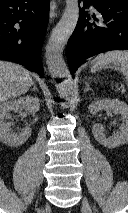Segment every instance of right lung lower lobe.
<instances>
[{
  "instance_id": "obj_1",
  "label": "right lung lower lobe",
  "mask_w": 128,
  "mask_h": 213,
  "mask_svg": "<svg viewBox=\"0 0 128 213\" xmlns=\"http://www.w3.org/2000/svg\"><path fill=\"white\" fill-rule=\"evenodd\" d=\"M48 17L49 0H0V58L19 61L42 77Z\"/></svg>"
}]
</instances>
